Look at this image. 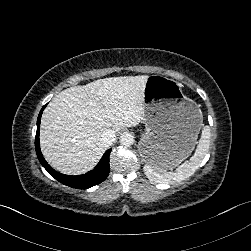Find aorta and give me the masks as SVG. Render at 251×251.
<instances>
[{"instance_id": "obj_1", "label": "aorta", "mask_w": 251, "mask_h": 251, "mask_svg": "<svg viewBox=\"0 0 251 251\" xmlns=\"http://www.w3.org/2000/svg\"><path fill=\"white\" fill-rule=\"evenodd\" d=\"M134 136L131 133L125 132L120 135V144L122 146H131L134 143Z\"/></svg>"}]
</instances>
